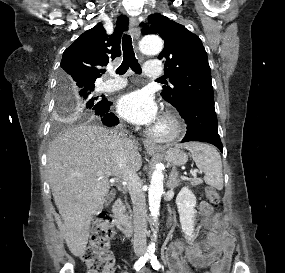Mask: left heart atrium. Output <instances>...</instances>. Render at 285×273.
I'll use <instances>...</instances> for the list:
<instances>
[{"instance_id": "39dd6f15", "label": "left heart atrium", "mask_w": 285, "mask_h": 273, "mask_svg": "<svg viewBox=\"0 0 285 273\" xmlns=\"http://www.w3.org/2000/svg\"><path fill=\"white\" fill-rule=\"evenodd\" d=\"M117 112L137 125L151 126L157 121V106L144 91H134L122 96L117 103Z\"/></svg>"}]
</instances>
